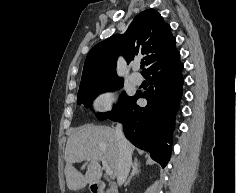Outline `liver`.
Segmentation results:
<instances>
[{
    "instance_id": "6515ba94",
    "label": "liver",
    "mask_w": 237,
    "mask_h": 193,
    "mask_svg": "<svg viewBox=\"0 0 237 193\" xmlns=\"http://www.w3.org/2000/svg\"><path fill=\"white\" fill-rule=\"evenodd\" d=\"M130 144V143H129ZM131 153L134 147L130 144ZM89 160L85 175L73 166L75 163ZM65 177L69 190L76 191L87 184L97 183L102 177L100 161H106L118 174L119 146L115 130L109 126L85 124L71 134L65 148Z\"/></svg>"
}]
</instances>
